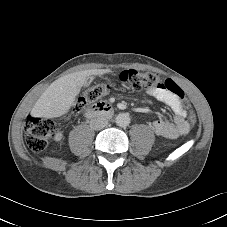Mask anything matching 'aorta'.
<instances>
[{
  "label": "aorta",
  "mask_w": 227,
  "mask_h": 227,
  "mask_svg": "<svg viewBox=\"0 0 227 227\" xmlns=\"http://www.w3.org/2000/svg\"><path fill=\"white\" fill-rule=\"evenodd\" d=\"M116 124L120 127H126L130 124V117L127 113H120L116 117Z\"/></svg>",
  "instance_id": "aorta-1"
}]
</instances>
